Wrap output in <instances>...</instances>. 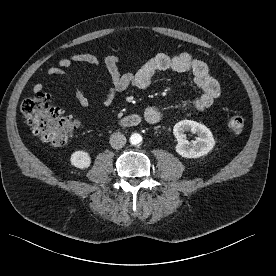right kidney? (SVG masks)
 I'll return each instance as SVG.
<instances>
[{"instance_id":"ca27d5eb","label":"right kidney","mask_w":276,"mask_h":276,"mask_svg":"<svg viewBox=\"0 0 276 276\" xmlns=\"http://www.w3.org/2000/svg\"><path fill=\"white\" fill-rule=\"evenodd\" d=\"M70 163L79 169H87L91 164V157L88 152L79 150L71 155Z\"/></svg>"}]
</instances>
